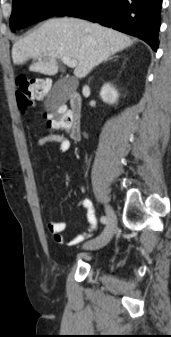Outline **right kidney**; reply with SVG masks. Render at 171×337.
I'll list each match as a JSON object with an SVG mask.
<instances>
[{
	"instance_id": "1",
	"label": "right kidney",
	"mask_w": 171,
	"mask_h": 337,
	"mask_svg": "<svg viewBox=\"0 0 171 337\" xmlns=\"http://www.w3.org/2000/svg\"><path fill=\"white\" fill-rule=\"evenodd\" d=\"M100 96L102 100L109 104H114L117 102V99L119 97L117 90L112 87L109 83L105 84L101 91Z\"/></svg>"
}]
</instances>
